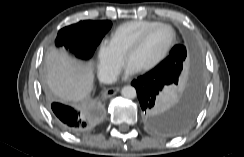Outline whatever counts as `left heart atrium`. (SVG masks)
Listing matches in <instances>:
<instances>
[{"label": "left heart atrium", "mask_w": 244, "mask_h": 157, "mask_svg": "<svg viewBox=\"0 0 244 157\" xmlns=\"http://www.w3.org/2000/svg\"><path fill=\"white\" fill-rule=\"evenodd\" d=\"M138 71V69L132 65L131 63H127L126 67H125V71H124V77H128L134 73H136Z\"/></svg>", "instance_id": "left-heart-atrium-1"}]
</instances>
